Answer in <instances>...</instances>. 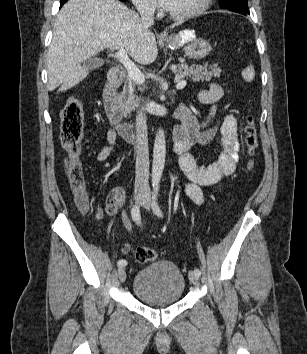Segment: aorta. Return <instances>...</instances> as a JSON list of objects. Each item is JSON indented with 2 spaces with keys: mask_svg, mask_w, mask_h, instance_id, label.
<instances>
[{
  "mask_svg": "<svg viewBox=\"0 0 307 354\" xmlns=\"http://www.w3.org/2000/svg\"><path fill=\"white\" fill-rule=\"evenodd\" d=\"M166 155V141L163 129L156 133L153 148L152 183L158 185L162 177Z\"/></svg>",
  "mask_w": 307,
  "mask_h": 354,
  "instance_id": "762f6f07",
  "label": "aorta"
}]
</instances>
